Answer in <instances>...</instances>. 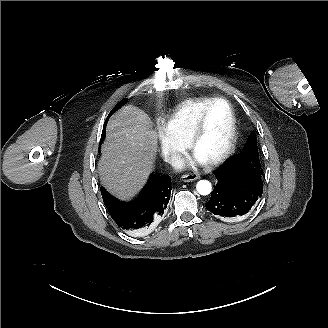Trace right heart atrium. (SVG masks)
Instances as JSON below:
<instances>
[{
	"instance_id": "right-heart-atrium-1",
	"label": "right heart atrium",
	"mask_w": 328,
	"mask_h": 328,
	"mask_svg": "<svg viewBox=\"0 0 328 328\" xmlns=\"http://www.w3.org/2000/svg\"><path fill=\"white\" fill-rule=\"evenodd\" d=\"M149 135L161 157L169 164L179 161L185 151V145L172 141L159 124H154L149 129Z\"/></svg>"
}]
</instances>
